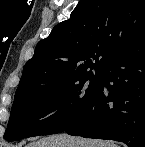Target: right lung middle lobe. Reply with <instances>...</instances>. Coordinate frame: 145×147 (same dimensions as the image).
<instances>
[{
	"label": "right lung middle lobe",
	"instance_id": "1",
	"mask_svg": "<svg viewBox=\"0 0 145 147\" xmlns=\"http://www.w3.org/2000/svg\"><path fill=\"white\" fill-rule=\"evenodd\" d=\"M101 73L77 76L54 88H33L15 93L4 139L22 138L63 132L95 97Z\"/></svg>",
	"mask_w": 145,
	"mask_h": 147
}]
</instances>
